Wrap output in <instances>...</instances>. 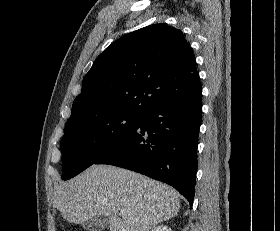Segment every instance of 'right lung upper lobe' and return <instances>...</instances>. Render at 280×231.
Returning a JSON list of instances; mask_svg holds the SVG:
<instances>
[{
  "mask_svg": "<svg viewBox=\"0 0 280 231\" xmlns=\"http://www.w3.org/2000/svg\"><path fill=\"white\" fill-rule=\"evenodd\" d=\"M200 91L195 56L183 33L165 23L153 24L123 36L96 58L69 120L143 115Z\"/></svg>",
  "mask_w": 280,
  "mask_h": 231,
  "instance_id": "cb5924a9",
  "label": "right lung upper lobe"
}]
</instances>
